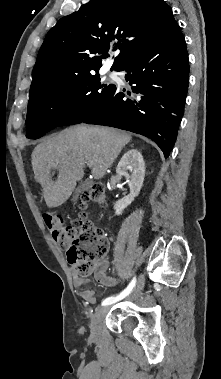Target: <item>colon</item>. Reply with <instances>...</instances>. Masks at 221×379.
Segmentation results:
<instances>
[{
  "mask_svg": "<svg viewBox=\"0 0 221 379\" xmlns=\"http://www.w3.org/2000/svg\"><path fill=\"white\" fill-rule=\"evenodd\" d=\"M105 197L104 187L95 184L82 193L81 209H85L89 201L104 206ZM43 219L53 239L66 248L68 262L75 272L83 277L90 275L107 252L102 230L95 227L83 212L70 225H65L59 215L45 214Z\"/></svg>",
  "mask_w": 221,
  "mask_h": 379,
  "instance_id": "colon-1",
  "label": "colon"
}]
</instances>
